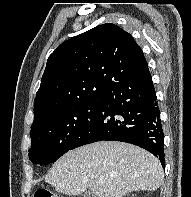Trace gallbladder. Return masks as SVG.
Wrapping results in <instances>:
<instances>
[{"instance_id":"1","label":"gallbladder","mask_w":191,"mask_h":197,"mask_svg":"<svg viewBox=\"0 0 191 197\" xmlns=\"http://www.w3.org/2000/svg\"><path fill=\"white\" fill-rule=\"evenodd\" d=\"M83 197H97V196L94 195V194L91 193V192H85V193L83 194Z\"/></svg>"}]
</instances>
